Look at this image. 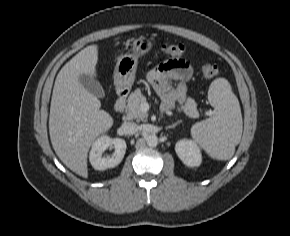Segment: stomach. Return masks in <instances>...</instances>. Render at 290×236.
Masks as SVG:
<instances>
[{
    "label": "stomach",
    "mask_w": 290,
    "mask_h": 236,
    "mask_svg": "<svg viewBox=\"0 0 290 236\" xmlns=\"http://www.w3.org/2000/svg\"><path fill=\"white\" fill-rule=\"evenodd\" d=\"M153 48L152 42L140 37L132 43V53L121 55L118 58L114 71V84L118 90L130 89L135 79L138 59L150 52Z\"/></svg>",
    "instance_id": "stomach-1"
}]
</instances>
